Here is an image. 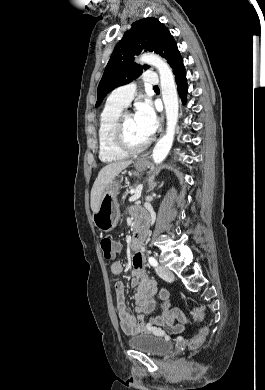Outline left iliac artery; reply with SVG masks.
Here are the masks:
<instances>
[{"label":"left iliac artery","mask_w":265,"mask_h":390,"mask_svg":"<svg viewBox=\"0 0 265 390\" xmlns=\"http://www.w3.org/2000/svg\"><path fill=\"white\" fill-rule=\"evenodd\" d=\"M148 261H149L150 265H152V266L158 265V262L154 257H149Z\"/></svg>","instance_id":"left-iliac-artery-1"}]
</instances>
